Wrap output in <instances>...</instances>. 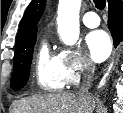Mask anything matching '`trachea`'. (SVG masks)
Wrapping results in <instances>:
<instances>
[{
    "instance_id": "trachea-1",
    "label": "trachea",
    "mask_w": 123,
    "mask_h": 113,
    "mask_svg": "<svg viewBox=\"0 0 123 113\" xmlns=\"http://www.w3.org/2000/svg\"><path fill=\"white\" fill-rule=\"evenodd\" d=\"M95 7L99 10H102L106 6V1L105 0H93Z\"/></svg>"
}]
</instances>
